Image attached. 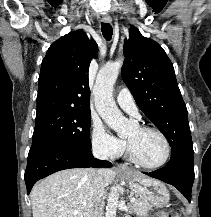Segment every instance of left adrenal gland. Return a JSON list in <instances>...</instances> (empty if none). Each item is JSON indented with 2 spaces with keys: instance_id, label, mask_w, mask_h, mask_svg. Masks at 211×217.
<instances>
[{
  "instance_id": "1",
  "label": "left adrenal gland",
  "mask_w": 211,
  "mask_h": 217,
  "mask_svg": "<svg viewBox=\"0 0 211 217\" xmlns=\"http://www.w3.org/2000/svg\"><path fill=\"white\" fill-rule=\"evenodd\" d=\"M128 208H129V209L131 208L130 204H128ZM130 210H131V209H130Z\"/></svg>"
}]
</instances>
